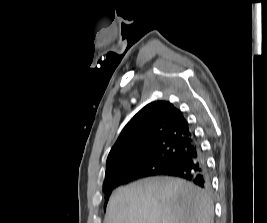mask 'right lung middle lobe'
<instances>
[{
    "instance_id": "1",
    "label": "right lung middle lobe",
    "mask_w": 267,
    "mask_h": 223,
    "mask_svg": "<svg viewBox=\"0 0 267 223\" xmlns=\"http://www.w3.org/2000/svg\"><path fill=\"white\" fill-rule=\"evenodd\" d=\"M184 150L176 145H166L155 149L154 153L145 159L133 161L129 165L130 171L140 170L150 174H157L170 167L182 154ZM111 193L105 194L108 201Z\"/></svg>"
}]
</instances>
